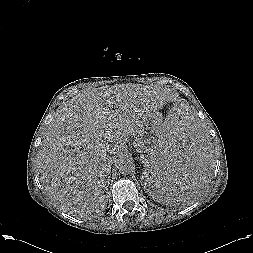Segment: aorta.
Segmentation results:
<instances>
[{"label": "aorta", "mask_w": 253, "mask_h": 253, "mask_svg": "<svg viewBox=\"0 0 253 253\" xmlns=\"http://www.w3.org/2000/svg\"><path fill=\"white\" fill-rule=\"evenodd\" d=\"M119 172L123 175H128L135 170L134 161L131 158H123L118 166Z\"/></svg>", "instance_id": "1"}]
</instances>
